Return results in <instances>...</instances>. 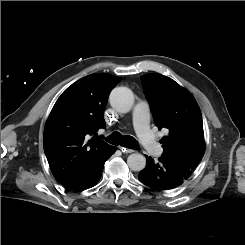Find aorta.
<instances>
[{
  "label": "aorta",
  "instance_id": "obj_1",
  "mask_svg": "<svg viewBox=\"0 0 245 245\" xmlns=\"http://www.w3.org/2000/svg\"><path fill=\"white\" fill-rule=\"evenodd\" d=\"M109 101L111 106L120 113H127L131 110L134 103V96L130 89L117 87L112 90ZM127 164L133 171H141L146 166V158L139 153L128 156Z\"/></svg>",
  "mask_w": 245,
  "mask_h": 245
}]
</instances>
